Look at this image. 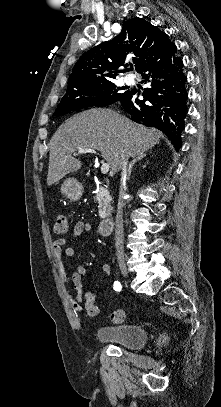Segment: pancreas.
<instances>
[{"mask_svg": "<svg viewBox=\"0 0 221 407\" xmlns=\"http://www.w3.org/2000/svg\"><path fill=\"white\" fill-rule=\"evenodd\" d=\"M95 201L98 203V215L105 218L110 214L112 198L108 190L100 186L98 192L94 195Z\"/></svg>", "mask_w": 221, "mask_h": 407, "instance_id": "pancreas-1", "label": "pancreas"}]
</instances>
